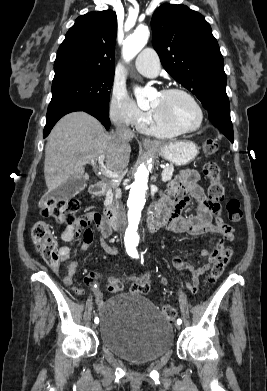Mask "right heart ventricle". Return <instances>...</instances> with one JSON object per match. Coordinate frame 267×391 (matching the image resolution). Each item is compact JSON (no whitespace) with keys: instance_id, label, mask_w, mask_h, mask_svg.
Here are the masks:
<instances>
[{"instance_id":"obj_1","label":"right heart ventricle","mask_w":267,"mask_h":391,"mask_svg":"<svg viewBox=\"0 0 267 391\" xmlns=\"http://www.w3.org/2000/svg\"><path fill=\"white\" fill-rule=\"evenodd\" d=\"M139 130L145 134H149L159 138H171L178 135V133L156 123L153 118V115L151 114L147 121L139 127Z\"/></svg>"}]
</instances>
